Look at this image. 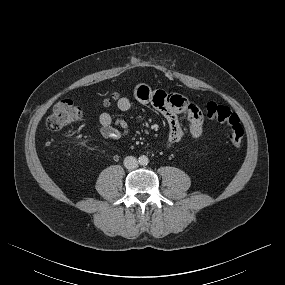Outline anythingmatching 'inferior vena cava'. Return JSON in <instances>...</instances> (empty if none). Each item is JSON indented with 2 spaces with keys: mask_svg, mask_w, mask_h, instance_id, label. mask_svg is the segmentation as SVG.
Segmentation results:
<instances>
[{
  "mask_svg": "<svg viewBox=\"0 0 285 285\" xmlns=\"http://www.w3.org/2000/svg\"><path fill=\"white\" fill-rule=\"evenodd\" d=\"M124 166L129 170L135 169L138 166V161L133 156H127L124 159Z\"/></svg>",
  "mask_w": 285,
  "mask_h": 285,
  "instance_id": "inferior-vena-cava-1",
  "label": "inferior vena cava"
}]
</instances>
